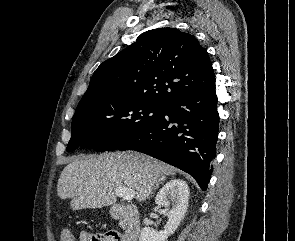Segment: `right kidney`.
<instances>
[{
  "label": "right kidney",
  "mask_w": 295,
  "mask_h": 241,
  "mask_svg": "<svg viewBox=\"0 0 295 241\" xmlns=\"http://www.w3.org/2000/svg\"><path fill=\"white\" fill-rule=\"evenodd\" d=\"M189 194L188 184L184 180L173 179L167 182L155 198L158 206L165 207V215L168 217L164 230L157 232L153 228L145 227L141 231L139 241H167L185 217Z\"/></svg>",
  "instance_id": "ca27d5eb"
}]
</instances>
